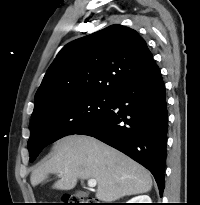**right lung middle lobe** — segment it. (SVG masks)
<instances>
[{
  "label": "right lung middle lobe",
  "mask_w": 200,
  "mask_h": 205,
  "mask_svg": "<svg viewBox=\"0 0 200 205\" xmlns=\"http://www.w3.org/2000/svg\"><path fill=\"white\" fill-rule=\"evenodd\" d=\"M111 102L110 96H79L52 104L31 117L30 162L47 145L94 124L108 112Z\"/></svg>",
  "instance_id": "dd1d6c3e"
}]
</instances>
